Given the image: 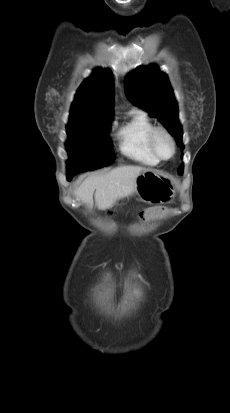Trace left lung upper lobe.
<instances>
[{
    "instance_id": "left-lung-upper-lobe-1",
    "label": "left lung upper lobe",
    "mask_w": 230,
    "mask_h": 413,
    "mask_svg": "<svg viewBox=\"0 0 230 413\" xmlns=\"http://www.w3.org/2000/svg\"><path fill=\"white\" fill-rule=\"evenodd\" d=\"M124 88L129 100L158 118L183 149L177 102L167 75L155 65L139 67L126 76ZM177 171L182 174L183 164Z\"/></svg>"
}]
</instances>
